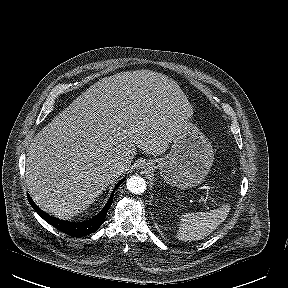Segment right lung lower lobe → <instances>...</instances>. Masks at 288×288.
Listing matches in <instances>:
<instances>
[{"label":"right lung lower lobe","mask_w":288,"mask_h":288,"mask_svg":"<svg viewBox=\"0 0 288 288\" xmlns=\"http://www.w3.org/2000/svg\"><path fill=\"white\" fill-rule=\"evenodd\" d=\"M125 179H121L119 183H117L116 187L114 188L108 202L106 203L105 207L92 219H89L85 222H79V223H71L63 220H59L58 218L52 217L49 214L42 211L31 199L29 195L28 201L30 205L33 207V209L49 224L54 226L55 228L59 229L65 234H68L73 237H82L86 236L88 234H91L92 232H95L105 221L106 214L112 205L113 196L115 190L122 184V182Z\"/></svg>","instance_id":"right-lung-lower-lobe-1"}]
</instances>
